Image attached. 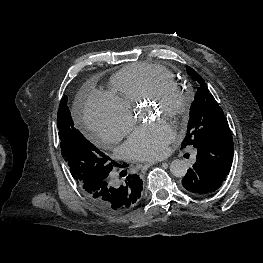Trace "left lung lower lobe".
<instances>
[{"label":"left lung lower lobe","mask_w":263,"mask_h":263,"mask_svg":"<svg viewBox=\"0 0 263 263\" xmlns=\"http://www.w3.org/2000/svg\"><path fill=\"white\" fill-rule=\"evenodd\" d=\"M197 148V160L182 179L186 190L195 195H208L217 191L230 172L233 161L231 132H221Z\"/></svg>","instance_id":"left-lung-lower-lobe-1"}]
</instances>
